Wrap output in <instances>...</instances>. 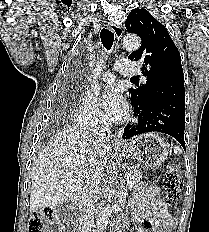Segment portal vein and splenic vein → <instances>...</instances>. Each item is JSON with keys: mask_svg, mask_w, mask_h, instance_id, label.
I'll list each match as a JSON object with an SVG mask.
<instances>
[{"mask_svg": "<svg viewBox=\"0 0 209 232\" xmlns=\"http://www.w3.org/2000/svg\"><path fill=\"white\" fill-rule=\"evenodd\" d=\"M127 176H128V174L126 173V174H125L126 179H127Z\"/></svg>", "mask_w": 209, "mask_h": 232, "instance_id": "obj_1", "label": "portal vein and splenic vein"}]
</instances>
